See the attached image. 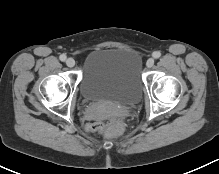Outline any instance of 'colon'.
<instances>
[{"mask_svg": "<svg viewBox=\"0 0 219 174\" xmlns=\"http://www.w3.org/2000/svg\"><path fill=\"white\" fill-rule=\"evenodd\" d=\"M87 129L94 132H101L106 134L107 136L112 137L122 132L123 124L119 119L114 118L110 120L107 125H104L102 122L99 121L90 122L87 124Z\"/></svg>", "mask_w": 219, "mask_h": 174, "instance_id": "colon-1", "label": "colon"}]
</instances>
